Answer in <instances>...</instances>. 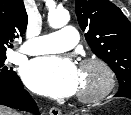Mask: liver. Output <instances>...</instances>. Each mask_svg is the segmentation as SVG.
Here are the masks:
<instances>
[{
  "mask_svg": "<svg viewBox=\"0 0 131 115\" xmlns=\"http://www.w3.org/2000/svg\"><path fill=\"white\" fill-rule=\"evenodd\" d=\"M0 115H19L17 112L0 105Z\"/></svg>",
  "mask_w": 131,
  "mask_h": 115,
  "instance_id": "obj_1",
  "label": "liver"
}]
</instances>
